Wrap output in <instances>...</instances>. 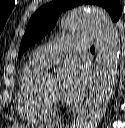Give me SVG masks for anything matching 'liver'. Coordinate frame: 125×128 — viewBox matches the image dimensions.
Returning a JSON list of instances; mask_svg holds the SVG:
<instances>
[{"label": "liver", "instance_id": "1", "mask_svg": "<svg viewBox=\"0 0 125 128\" xmlns=\"http://www.w3.org/2000/svg\"><path fill=\"white\" fill-rule=\"evenodd\" d=\"M50 128L52 127L53 128V126H49ZM13 128H24V126H14Z\"/></svg>", "mask_w": 125, "mask_h": 128}]
</instances>
